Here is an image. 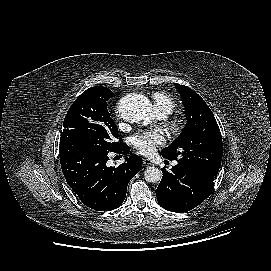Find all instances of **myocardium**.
I'll list each match as a JSON object with an SVG mask.
<instances>
[{
    "instance_id": "myocardium-1",
    "label": "myocardium",
    "mask_w": 271,
    "mask_h": 271,
    "mask_svg": "<svg viewBox=\"0 0 271 271\" xmlns=\"http://www.w3.org/2000/svg\"><path fill=\"white\" fill-rule=\"evenodd\" d=\"M171 127L175 133H180L183 129V122L180 120H175L171 123Z\"/></svg>"
}]
</instances>
